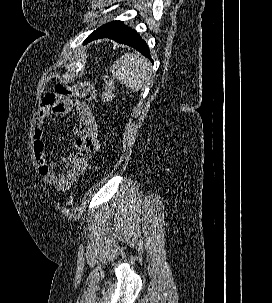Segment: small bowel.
Here are the masks:
<instances>
[{
	"label": "small bowel",
	"mask_w": 272,
	"mask_h": 303,
	"mask_svg": "<svg viewBox=\"0 0 272 303\" xmlns=\"http://www.w3.org/2000/svg\"><path fill=\"white\" fill-rule=\"evenodd\" d=\"M95 85L85 82L72 86L57 85L45 95L36 116L33 133L34 158L43 182L59 192H65L91 168V157L99 148L97 117L85 102L97 99ZM75 110L77 124L74 128V153L59 162L49 160L46 151L45 121L54 115H68Z\"/></svg>",
	"instance_id": "small-bowel-1"
}]
</instances>
